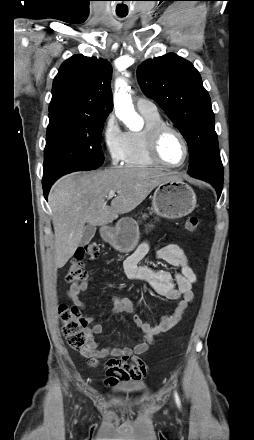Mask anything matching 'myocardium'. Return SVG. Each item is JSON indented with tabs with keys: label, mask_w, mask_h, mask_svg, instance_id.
<instances>
[{
	"label": "myocardium",
	"mask_w": 254,
	"mask_h": 440,
	"mask_svg": "<svg viewBox=\"0 0 254 440\" xmlns=\"http://www.w3.org/2000/svg\"><path fill=\"white\" fill-rule=\"evenodd\" d=\"M166 132H173L174 134H176L180 138V140L183 144L184 159L180 164H177V165L168 164L162 159V157L160 155V150H159L160 141ZM147 151H148L150 158L157 165L164 167V168H170V169L182 167L187 162L188 157H189V153H190L189 144H188L187 139L184 136V134L175 126L167 124V123H161L159 125H156L148 131Z\"/></svg>",
	"instance_id": "f54148a6"
}]
</instances>
